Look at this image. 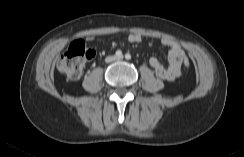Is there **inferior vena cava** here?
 <instances>
[{
	"mask_svg": "<svg viewBox=\"0 0 244 157\" xmlns=\"http://www.w3.org/2000/svg\"><path fill=\"white\" fill-rule=\"evenodd\" d=\"M107 61H113L114 60V58L113 57H111L110 59H106Z\"/></svg>",
	"mask_w": 244,
	"mask_h": 157,
	"instance_id": "obj_1",
	"label": "inferior vena cava"
}]
</instances>
